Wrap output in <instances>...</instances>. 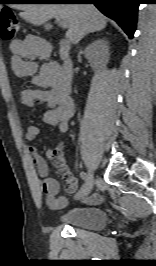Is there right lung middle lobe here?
<instances>
[{"instance_id":"1","label":"right lung middle lobe","mask_w":156,"mask_h":266,"mask_svg":"<svg viewBox=\"0 0 156 266\" xmlns=\"http://www.w3.org/2000/svg\"><path fill=\"white\" fill-rule=\"evenodd\" d=\"M0 2L2 3V2H4V0H1Z\"/></svg>"}]
</instances>
